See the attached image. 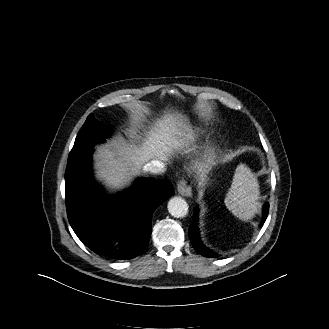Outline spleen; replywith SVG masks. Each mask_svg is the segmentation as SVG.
Wrapping results in <instances>:
<instances>
[{
    "label": "spleen",
    "instance_id": "1",
    "mask_svg": "<svg viewBox=\"0 0 329 329\" xmlns=\"http://www.w3.org/2000/svg\"><path fill=\"white\" fill-rule=\"evenodd\" d=\"M259 194V184L254 174L245 164H240L224 202L239 219L249 220L257 213Z\"/></svg>",
    "mask_w": 329,
    "mask_h": 329
}]
</instances>
